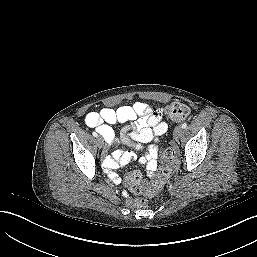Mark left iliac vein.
I'll use <instances>...</instances> for the list:
<instances>
[{"label":"left iliac vein","instance_id":"4c4485c4","mask_svg":"<svg viewBox=\"0 0 257 257\" xmlns=\"http://www.w3.org/2000/svg\"><path fill=\"white\" fill-rule=\"evenodd\" d=\"M183 134V128L181 126H177L175 129H174V138L175 139H178L182 136Z\"/></svg>","mask_w":257,"mask_h":257}]
</instances>
